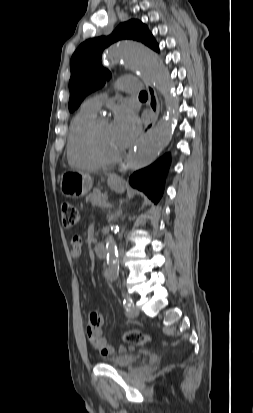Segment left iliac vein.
Listing matches in <instances>:
<instances>
[{
	"mask_svg": "<svg viewBox=\"0 0 253 413\" xmlns=\"http://www.w3.org/2000/svg\"><path fill=\"white\" fill-rule=\"evenodd\" d=\"M126 314H127L128 317L134 318V317H137L139 315V310L135 306V304L132 303L131 306L127 308Z\"/></svg>",
	"mask_w": 253,
	"mask_h": 413,
	"instance_id": "1",
	"label": "left iliac vein"
}]
</instances>
